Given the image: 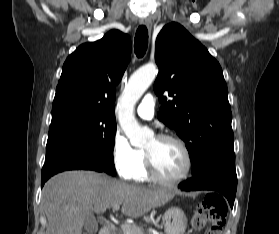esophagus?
I'll return each mask as SVG.
<instances>
[{"instance_id":"34e87169","label":"esophagus","mask_w":279,"mask_h":234,"mask_svg":"<svg viewBox=\"0 0 279 234\" xmlns=\"http://www.w3.org/2000/svg\"><path fill=\"white\" fill-rule=\"evenodd\" d=\"M141 24H144L149 30L152 28V20L150 17H146L141 20Z\"/></svg>"}]
</instances>
